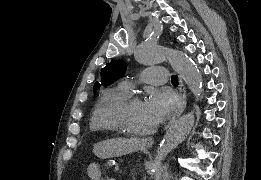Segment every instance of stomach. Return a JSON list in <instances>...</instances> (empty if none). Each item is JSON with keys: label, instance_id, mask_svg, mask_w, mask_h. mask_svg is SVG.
Segmentation results:
<instances>
[{"label": "stomach", "instance_id": "obj_1", "mask_svg": "<svg viewBox=\"0 0 261 180\" xmlns=\"http://www.w3.org/2000/svg\"><path fill=\"white\" fill-rule=\"evenodd\" d=\"M139 149L134 139L112 138L94 145V154L101 159L123 156Z\"/></svg>", "mask_w": 261, "mask_h": 180}]
</instances>
